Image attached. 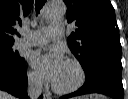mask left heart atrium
Wrapping results in <instances>:
<instances>
[{
	"instance_id": "left-heart-atrium-1",
	"label": "left heart atrium",
	"mask_w": 128,
	"mask_h": 99,
	"mask_svg": "<svg viewBox=\"0 0 128 99\" xmlns=\"http://www.w3.org/2000/svg\"><path fill=\"white\" fill-rule=\"evenodd\" d=\"M31 61L35 68L52 83L57 79L66 62L63 55L58 50L49 54L36 52L32 55Z\"/></svg>"
}]
</instances>
